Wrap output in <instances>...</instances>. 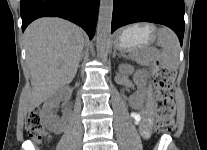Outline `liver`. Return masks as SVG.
Returning a JSON list of instances; mask_svg holds the SVG:
<instances>
[{
    "instance_id": "1",
    "label": "liver",
    "mask_w": 207,
    "mask_h": 150,
    "mask_svg": "<svg viewBox=\"0 0 207 150\" xmlns=\"http://www.w3.org/2000/svg\"><path fill=\"white\" fill-rule=\"evenodd\" d=\"M24 36L33 80L29 110H33L74 79L84 36L78 26L60 18H40Z\"/></svg>"
}]
</instances>
